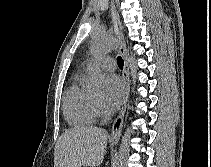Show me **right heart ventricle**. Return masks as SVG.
Returning a JSON list of instances; mask_svg holds the SVG:
<instances>
[{
	"label": "right heart ventricle",
	"mask_w": 211,
	"mask_h": 167,
	"mask_svg": "<svg viewBox=\"0 0 211 167\" xmlns=\"http://www.w3.org/2000/svg\"><path fill=\"white\" fill-rule=\"evenodd\" d=\"M85 72L84 69L74 77L64 97V115L75 126H88L96 121L92 96L83 86Z\"/></svg>",
	"instance_id": "1"
}]
</instances>
